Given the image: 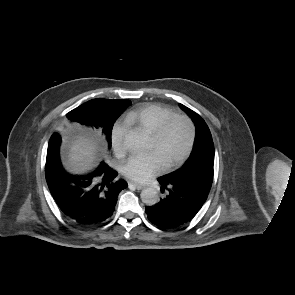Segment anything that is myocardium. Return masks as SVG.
<instances>
[{
	"mask_svg": "<svg viewBox=\"0 0 295 295\" xmlns=\"http://www.w3.org/2000/svg\"><path fill=\"white\" fill-rule=\"evenodd\" d=\"M175 121H183L186 123L189 130V139L183 153L175 160L167 163L164 166L165 170H172L180 166L191 154L194 147V143H195V137H196L195 125L188 116L182 115V114H174L166 118L164 121H162L161 124L157 127V129L151 134V138L157 143L160 142L163 139L164 135L166 134L170 125Z\"/></svg>",
	"mask_w": 295,
	"mask_h": 295,
	"instance_id": "obj_1",
	"label": "myocardium"
}]
</instances>
